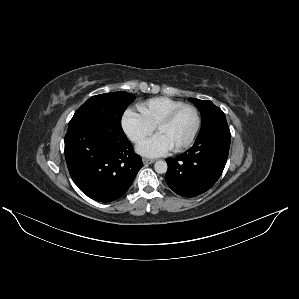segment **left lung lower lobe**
<instances>
[{
	"instance_id": "1",
	"label": "left lung lower lobe",
	"mask_w": 299,
	"mask_h": 299,
	"mask_svg": "<svg viewBox=\"0 0 299 299\" xmlns=\"http://www.w3.org/2000/svg\"><path fill=\"white\" fill-rule=\"evenodd\" d=\"M231 133L218 127L196 138L194 145L177 156L166 159L165 180L178 195L195 197L209 190L225 167Z\"/></svg>"
}]
</instances>
